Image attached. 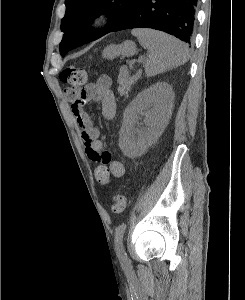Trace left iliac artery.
<instances>
[{"instance_id": "obj_1", "label": "left iliac artery", "mask_w": 245, "mask_h": 300, "mask_svg": "<svg viewBox=\"0 0 245 300\" xmlns=\"http://www.w3.org/2000/svg\"><path fill=\"white\" fill-rule=\"evenodd\" d=\"M126 229V224L122 223L116 228L115 232V250L117 252L118 258L121 262L122 265H127L128 264V258L127 254L125 252L124 246H123V235Z\"/></svg>"}]
</instances>
